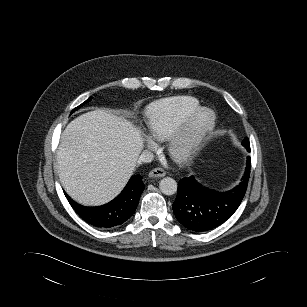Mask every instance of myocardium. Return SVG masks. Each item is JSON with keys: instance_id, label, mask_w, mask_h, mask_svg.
Instances as JSON below:
<instances>
[{"instance_id": "1", "label": "myocardium", "mask_w": 307, "mask_h": 307, "mask_svg": "<svg viewBox=\"0 0 307 307\" xmlns=\"http://www.w3.org/2000/svg\"><path fill=\"white\" fill-rule=\"evenodd\" d=\"M217 122L215 112L207 107H198L168 138V152L178 162H187L201 149L213 132Z\"/></svg>"}]
</instances>
